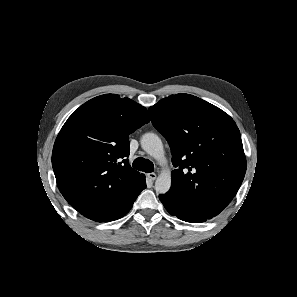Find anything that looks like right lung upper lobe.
<instances>
[{
  "mask_svg": "<svg viewBox=\"0 0 297 297\" xmlns=\"http://www.w3.org/2000/svg\"><path fill=\"white\" fill-rule=\"evenodd\" d=\"M145 107L105 94L81 105L54 143L52 166L61 194L85 217L101 222L143 177L129 165V134L148 123Z\"/></svg>",
  "mask_w": 297,
  "mask_h": 297,
  "instance_id": "right-lung-upper-lobe-1",
  "label": "right lung upper lobe"
}]
</instances>
